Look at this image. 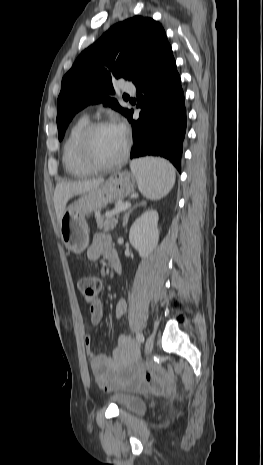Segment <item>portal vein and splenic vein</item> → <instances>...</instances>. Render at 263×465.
Returning a JSON list of instances; mask_svg holds the SVG:
<instances>
[{
  "mask_svg": "<svg viewBox=\"0 0 263 465\" xmlns=\"http://www.w3.org/2000/svg\"><path fill=\"white\" fill-rule=\"evenodd\" d=\"M130 206H131L130 203H124V204L118 206L115 210L106 213V217H111V216L117 215L120 212L125 211L126 209H128Z\"/></svg>",
  "mask_w": 263,
  "mask_h": 465,
  "instance_id": "portal-vein-and-splenic-vein-1",
  "label": "portal vein and splenic vein"
}]
</instances>
